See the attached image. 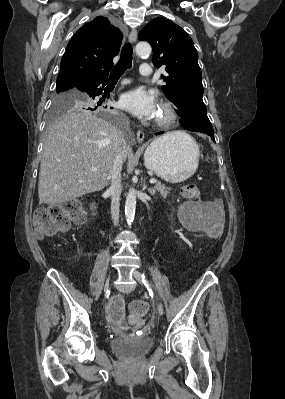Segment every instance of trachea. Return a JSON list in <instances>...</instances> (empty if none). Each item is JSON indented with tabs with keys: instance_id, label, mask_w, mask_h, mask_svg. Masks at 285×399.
<instances>
[{
	"instance_id": "1",
	"label": "trachea",
	"mask_w": 285,
	"mask_h": 399,
	"mask_svg": "<svg viewBox=\"0 0 285 399\" xmlns=\"http://www.w3.org/2000/svg\"><path fill=\"white\" fill-rule=\"evenodd\" d=\"M132 53V45L130 43H126L122 48L119 62L111 71L109 80H118L127 69L131 68Z\"/></svg>"
}]
</instances>
